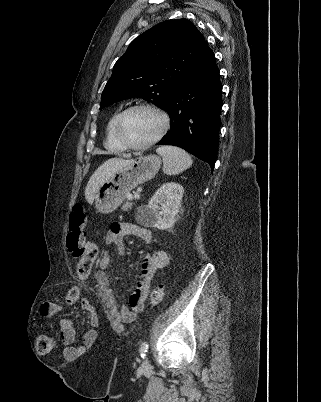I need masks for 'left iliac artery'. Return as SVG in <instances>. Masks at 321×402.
Masks as SVG:
<instances>
[{"instance_id": "obj_1", "label": "left iliac artery", "mask_w": 321, "mask_h": 402, "mask_svg": "<svg viewBox=\"0 0 321 402\" xmlns=\"http://www.w3.org/2000/svg\"><path fill=\"white\" fill-rule=\"evenodd\" d=\"M147 351H148V343H147V342H143V343L141 344V347H140V356H141L142 358H145Z\"/></svg>"}]
</instances>
